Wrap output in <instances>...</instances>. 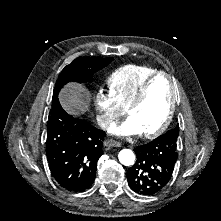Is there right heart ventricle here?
Segmentation results:
<instances>
[{"instance_id": "1", "label": "right heart ventricle", "mask_w": 221, "mask_h": 221, "mask_svg": "<svg viewBox=\"0 0 221 221\" xmlns=\"http://www.w3.org/2000/svg\"><path fill=\"white\" fill-rule=\"evenodd\" d=\"M158 69L143 64H127L111 72L106 83L109 91L116 97L121 107L134 97L141 84Z\"/></svg>"}]
</instances>
